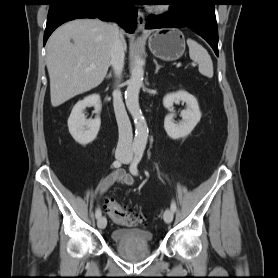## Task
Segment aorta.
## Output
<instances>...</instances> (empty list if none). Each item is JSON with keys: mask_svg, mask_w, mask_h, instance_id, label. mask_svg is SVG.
Segmentation results:
<instances>
[{"mask_svg": "<svg viewBox=\"0 0 278 278\" xmlns=\"http://www.w3.org/2000/svg\"><path fill=\"white\" fill-rule=\"evenodd\" d=\"M143 64L142 59L137 56L125 92L126 106L135 124V137L133 141V149L135 151H144L148 140V127L139 106V92L143 85L144 77Z\"/></svg>", "mask_w": 278, "mask_h": 278, "instance_id": "1", "label": "aorta"}]
</instances>
